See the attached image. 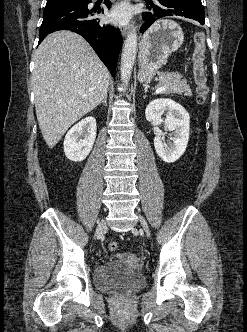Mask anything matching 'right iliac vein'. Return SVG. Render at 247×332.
I'll return each instance as SVG.
<instances>
[{"mask_svg": "<svg viewBox=\"0 0 247 332\" xmlns=\"http://www.w3.org/2000/svg\"><path fill=\"white\" fill-rule=\"evenodd\" d=\"M105 228H106V221H105V219H102L97 226V229L95 232V237L96 238L100 237L103 234Z\"/></svg>", "mask_w": 247, "mask_h": 332, "instance_id": "obj_1", "label": "right iliac vein"}]
</instances>
